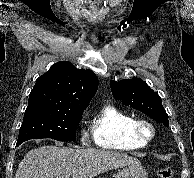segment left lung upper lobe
I'll return each mask as SVG.
<instances>
[{
    "label": "left lung upper lobe",
    "mask_w": 194,
    "mask_h": 178,
    "mask_svg": "<svg viewBox=\"0 0 194 178\" xmlns=\"http://www.w3.org/2000/svg\"><path fill=\"white\" fill-rule=\"evenodd\" d=\"M113 96L124 105L131 106L155 121L168 124V115L162 106L157 92H154L142 79L133 78L121 81H111Z\"/></svg>",
    "instance_id": "left-lung-upper-lobe-1"
}]
</instances>
